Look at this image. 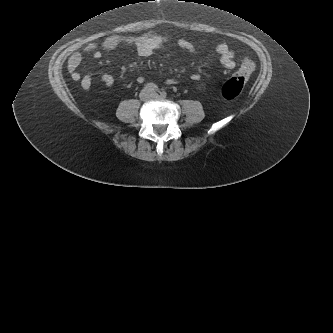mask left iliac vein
<instances>
[{"label": "left iliac vein", "mask_w": 333, "mask_h": 333, "mask_svg": "<svg viewBox=\"0 0 333 333\" xmlns=\"http://www.w3.org/2000/svg\"><path fill=\"white\" fill-rule=\"evenodd\" d=\"M152 95H153V98H161V96H159V95L156 94V93H153Z\"/></svg>", "instance_id": "left-iliac-vein-1"}]
</instances>
